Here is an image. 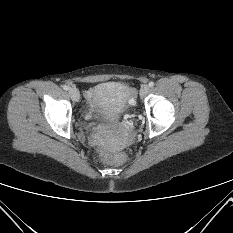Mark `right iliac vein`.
<instances>
[{
  "label": "right iliac vein",
  "instance_id": "right-iliac-vein-1",
  "mask_svg": "<svg viewBox=\"0 0 233 233\" xmlns=\"http://www.w3.org/2000/svg\"><path fill=\"white\" fill-rule=\"evenodd\" d=\"M69 94H70V97L73 101L79 100V91L76 88H70Z\"/></svg>",
  "mask_w": 233,
  "mask_h": 233
}]
</instances>
